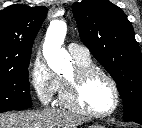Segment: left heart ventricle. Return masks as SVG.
I'll return each instance as SVG.
<instances>
[{
  "mask_svg": "<svg viewBox=\"0 0 142 128\" xmlns=\"http://www.w3.org/2000/svg\"><path fill=\"white\" fill-rule=\"evenodd\" d=\"M74 70L66 75L71 78ZM84 106L94 112L104 113L110 111L115 103V96L110 83L102 76L92 77L82 90Z\"/></svg>",
  "mask_w": 142,
  "mask_h": 128,
  "instance_id": "1",
  "label": "left heart ventricle"
}]
</instances>
